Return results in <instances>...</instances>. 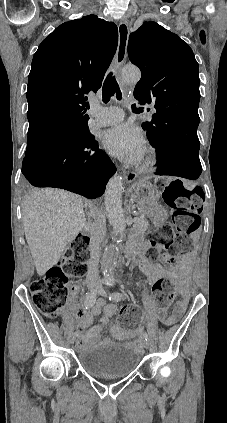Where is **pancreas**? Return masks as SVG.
<instances>
[{
    "instance_id": "1",
    "label": "pancreas",
    "mask_w": 227,
    "mask_h": 423,
    "mask_svg": "<svg viewBox=\"0 0 227 423\" xmlns=\"http://www.w3.org/2000/svg\"><path fill=\"white\" fill-rule=\"evenodd\" d=\"M140 215L138 217L137 225L139 229H147L149 223L147 219H145V213L144 211H139Z\"/></svg>"
}]
</instances>
